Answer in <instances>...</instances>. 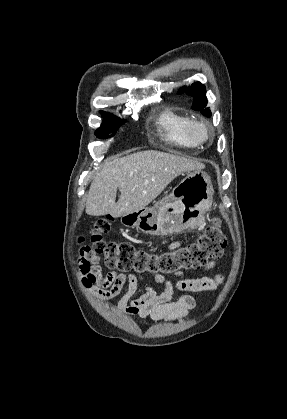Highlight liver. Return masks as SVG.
Listing matches in <instances>:
<instances>
[{
	"instance_id": "6515ba94",
	"label": "liver",
	"mask_w": 287,
	"mask_h": 419,
	"mask_svg": "<svg viewBox=\"0 0 287 419\" xmlns=\"http://www.w3.org/2000/svg\"><path fill=\"white\" fill-rule=\"evenodd\" d=\"M204 164L186 156L145 150L108 159L94 176L86 200L91 216L121 217L145 208L179 175L202 170ZM117 189L120 191L116 202Z\"/></svg>"
}]
</instances>
